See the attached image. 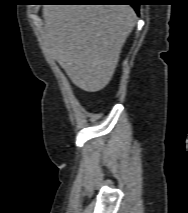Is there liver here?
I'll list each match as a JSON object with an SVG mask.
<instances>
[{"instance_id": "obj_1", "label": "liver", "mask_w": 188, "mask_h": 213, "mask_svg": "<svg viewBox=\"0 0 188 213\" xmlns=\"http://www.w3.org/2000/svg\"><path fill=\"white\" fill-rule=\"evenodd\" d=\"M45 43L71 81L87 92L110 82L137 16L129 5H46Z\"/></svg>"}]
</instances>
